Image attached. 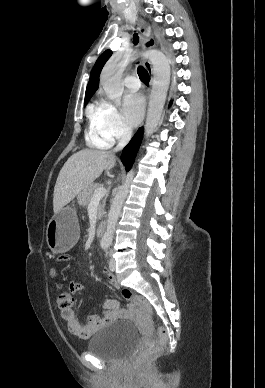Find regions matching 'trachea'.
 <instances>
[{
    "mask_svg": "<svg viewBox=\"0 0 265 388\" xmlns=\"http://www.w3.org/2000/svg\"><path fill=\"white\" fill-rule=\"evenodd\" d=\"M133 43L134 44L138 43V35H137V33H135V35L133 37ZM138 75H139V77L141 78V80L144 83H146V84L149 83V81H150L149 74H148L147 70H145V68H143V66H139V68H138Z\"/></svg>",
    "mask_w": 265,
    "mask_h": 388,
    "instance_id": "3493384b",
    "label": "trachea"
}]
</instances>
